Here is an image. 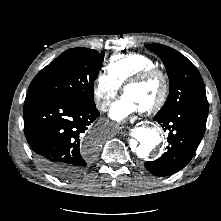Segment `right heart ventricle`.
<instances>
[{
    "instance_id": "right-heart-ventricle-1",
    "label": "right heart ventricle",
    "mask_w": 221,
    "mask_h": 221,
    "mask_svg": "<svg viewBox=\"0 0 221 221\" xmlns=\"http://www.w3.org/2000/svg\"><path fill=\"white\" fill-rule=\"evenodd\" d=\"M150 68H157L156 62L143 53L119 54L110 58L107 64L108 74L122 86L137 73Z\"/></svg>"
}]
</instances>
